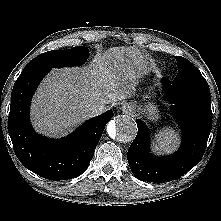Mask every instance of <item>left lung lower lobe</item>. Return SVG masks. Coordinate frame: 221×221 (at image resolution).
<instances>
[{
  "instance_id": "0a47b994",
  "label": "left lung lower lobe",
  "mask_w": 221,
  "mask_h": 221,
  "mask_svg": "<svg viewBox=\"0 0 221 221\" xmlns=\"http://www.w3.org/2000/svg\"><path fill=\"white\" fill-rule=\"evenodd\" d=\"M162 82L165 97L175 104L172 112L183 129L182 145L173 155L152 157L148 128L138 119V133L127 154L134 176L156 183L175 180L193 168L205 152L212 127L210 90L206 81L173 84L163 78Z\"/></svg>"
}]
</instances>
